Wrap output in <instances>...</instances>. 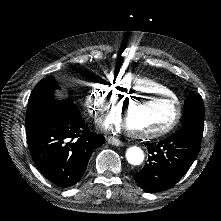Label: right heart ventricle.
Returning <instances> with one entry per match:
<instances>
[{"instance_id":"right-heart-ventricle-1","label":"right heart ventricle","mask_w":221,"mask_h":221,"mask_svg":"<svg viewBox=\"0 0 221 221\" xmlns=\"http://www.w3.org/2000/svg\"><path fill=\"white\" fill-rule=\"evenodd\" d=\"M107 86L111 90L121 91L123 93L150 94L164 98H172L176 91L172 87L159 86L161 82L148 77H142L129 73L127 71H111L107 75Z\"/></svg>"}]
</instances>
